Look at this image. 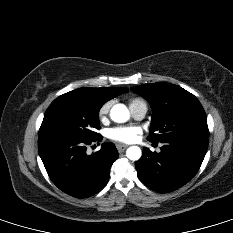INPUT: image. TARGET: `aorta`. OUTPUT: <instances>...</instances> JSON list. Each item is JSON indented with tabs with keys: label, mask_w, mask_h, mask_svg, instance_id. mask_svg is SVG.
Listing matches in <instances>:
<instances>
[{
	"label": "aorta",
	"mask_w": 233,
	"mask_h": 233,
	"mask_svg": "<svg viewBox=\"0 0 233 233\" xmlns=\"http://www.w3.org/2000/svg\"><path fill=\"white\" fill-rule=\"evenodd\" d=\"M110 117L114 122L124 123L130 118V113L124 104H116L110 110ZM142 155L138 146H131L126 150V156L132 161H137Z\"/></svg>",
	"instance_id": "762f6f07"
}]
</instances>
